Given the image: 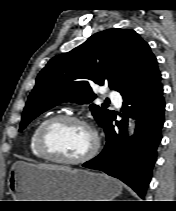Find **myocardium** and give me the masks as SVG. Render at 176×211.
<instances>
[{
  "mask_svg": "<svg viewBox=\"0 0 176 211\" xmlns=\"http://www.w3.org/2000/svg\"><path fill=\"white\" fill-rule=\"evenodd\" d=\"M61 122L76 123L78 125L85 127L91 133L92 138H93V144L91 148L88 150V152H86L84 155L80 157L71 159V158H65L58 155L49 147L46 140V134L52 126ZM36 145L39 152L43 156H45L47 159L64 163V164L75 165V164L84 163L96 155L100 147V138L96 129L90 123H88L85 119L75 116V115H71V114H58V115H54L52 117L47 118L40 125L37 132V136H36Z\"/></svg>",
  "mask_w": 176,
  "mask_h": 211,
  "instance_id": "myocardium-1",
  "label": "myocardium"
}]
</instances>
